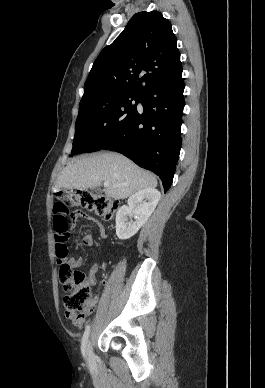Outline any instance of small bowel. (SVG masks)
<instances>
[{
	"label": "small bowel",
	"instance_id": "c3829d8e",
	"mask_svg": "<svg viewBox=\"0 0 265 388\" xmlns=\"http://www.w3.org/2000/svg\"><path fill=\"white\" fill-rule=\"evenodd\" d=\"M78 218H84V219H87V220H93V218L84 213V212H81V211H77V212H73L71 214V219L72 221H76ZM99 235L101 238H105L106 237V232L104 229H100L99 230ZM82 243L83 245L87 246V247H91L94 245L95 243V240L92 236L90 235H86L82 238ZM68 264L71 266V267H78L82 264V259L81 258H76V257H72L68 260ZM99 267H100V264L99 263H95L91 266V268L89 269V272H88V276H87V284L90 285V286H94L97 282V278H96V275L99 271ZM106 285V282H103V286ZM100 298V295H96L92 301L89 303V305L87 306L86 310H85V316L86 315H89L91 314V312L93 311L94 309V306L95 304L97 303V301L99 300ZM83 325V318L76 324L77 327H81Z\"/></svg>",
	"mask_w": 265,
	"mask_h": 388
}]
</instances>
